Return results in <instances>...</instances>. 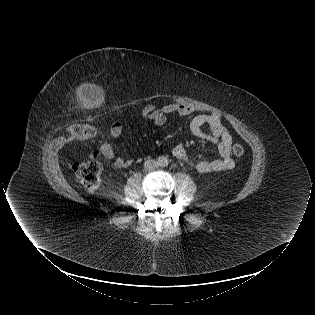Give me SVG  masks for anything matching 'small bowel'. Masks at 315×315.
Instances as JSON below:
<instances>
[{"label":"small bowel","mask_w":315,"mask_h":315,"mask_svg":"<svg viewBox=\"0 0 315 315\" xmlns=\"http://www.w3.org/2000/svg\"><path fill=\"white\" fill-rule=\"evenodd\" d=\"M193 113V109L183 103H171L161 108L148 104L142 110V117L155 126H162L167 121L169 114H178L188 116ZM204 126L208 127V132L204 131ZM191 133L205 141L217 146L220 158L213 160H201L195 163V168L200 173L219 172L231 170L235 162L231 157L232 137L228 128L222 123L221 116L218 113L195 115L189 123ZM123 133V126L115 122L110 127V136L119 138ZM103 157L113 162L116 168H125L131 165L129 158L117 157L112 144L106 140L100 147ZM173 156L187 163H193L188 156L185 147L181 144L174 147Z\"/></svg>","instance_id":"c3829d8e"}]
</instances>
